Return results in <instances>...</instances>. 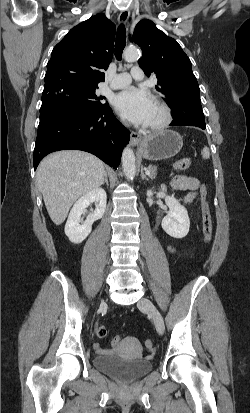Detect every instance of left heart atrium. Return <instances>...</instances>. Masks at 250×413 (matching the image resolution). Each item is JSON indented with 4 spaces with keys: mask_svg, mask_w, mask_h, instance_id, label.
<instances>
[{
    "mask_svg": "<svg viewBox=\"0 0 250 413\" xmlns=\"http://www.w3.org/2000/svg\"><path fill=\"white\" fill-rule=\"evenodd\" d=\"M113 103L116 110L131 122L148 124L153 99L146 91L128 87L115 96Z\"/></svg>",
    "mask_w": 250,
    "mask_h": 413,
    "instance_id": "1",
    "label": "left heart atrium"
}]
</instances>
